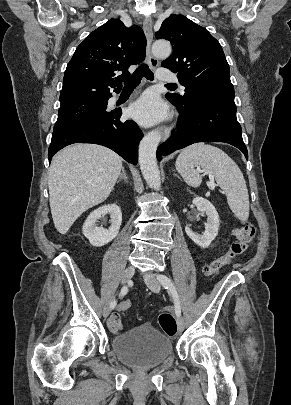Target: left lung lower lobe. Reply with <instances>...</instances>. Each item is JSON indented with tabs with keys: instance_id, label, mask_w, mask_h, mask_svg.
<instances>
[{
	"instance_id": "obj_1",
	"label": "left lung lower lobe",
	"mask_w": 291,
	"mask_h": 405,
	"mask_svg": "<svg viewBox=\"0 0 291 405\" xmlns=\"http://www.w3.org/2000/svg\"><path fill=\"white\" fill-rule=\"evenodd\" d=\"M171 102L180 112L176 126L179 131L158 147V160L198 142L229 143L240 149L248 159L236 118L233 90H198L189 93L183 103Z\"/></svg>"
}]
</instances>
